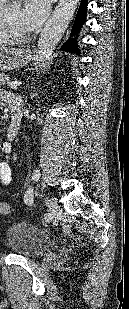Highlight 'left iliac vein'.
Listing matches in <instances>:
<instances>
[{
  "instance_id": "4c4485c4",
  "label": "left iliac vein",
  "mask_w": 129,
  "mask_h": 309,
  "mask_svg": "<svg viewBox=\"0 0 129 309\" xmlns=\"http://www.w3.org/2000/svg\"><path fill=\"white\" fill-rule=\"evenodd\" d=\"M46 204L50 207V213H51V218H56L58 217L61 212L57 207V202L54 198L52 199H46Z\"/></svg>"
}]
</instances>
